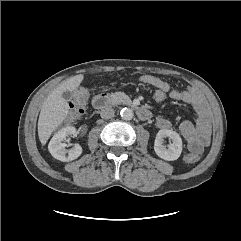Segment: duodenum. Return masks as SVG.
<instances>
[{
	"label": "duodenum",
	"mask_w": 241,
	"mask_h": 241,
	"mask_svg": "<svg viewBox=\"0 0 241 241\" xmlns=\"http://www.w3.org/2000/svg\"><path fill=\"white\" fill-rule=\"evenodd\" d=\"M112 101L113 98L109 94H99L94 97L93 106L98 110H102L106 108ZM128 104L135 109L140 119L148 120L150 118V113L148 110L131 102H129Z\"/></svg>",
	"instance_id": "1"
}]
</instances>
